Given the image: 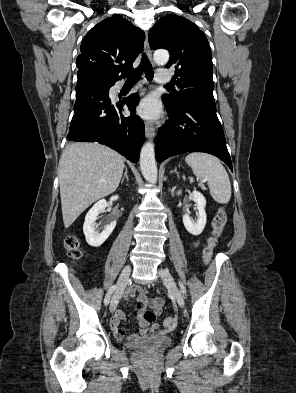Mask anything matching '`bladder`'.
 Segmentation results:
<instances>
[{"mask_svg": "<svg viewBox=\"0 0 296 393\" xmlns=\"http://www.w3.org/2000/svg\"><path fill=\"white\" fill-rule=\"evenodd\" d=\"M172 337L166 334H157L150 339L142 341H129L128 346L137 350H158L172 344Z\"/></svg>", "mask_w": 296, "mask_h": 393, "instance_id": "obj_1", "label": "bladder"}]
</instances>
